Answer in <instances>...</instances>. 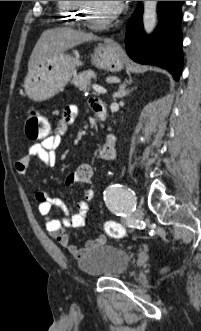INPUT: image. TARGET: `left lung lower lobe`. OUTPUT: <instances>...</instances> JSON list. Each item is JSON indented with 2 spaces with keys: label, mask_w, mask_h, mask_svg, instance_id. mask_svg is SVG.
<instances>
[{
  "label": "left lung lower lobe",
  "mask_w": 201,
  "mask_h": 331,
  "mask_svg": "<svg viewBox=\"0 0 201 331\" xmlns=\"http://www.w3.org/2000/svg\"><path fill=\"white\" fill-rule=\"evenodd\" d=\"M184 1H158L159 24L150 37L142 25V7L129 20L125 44L128 55L141 64L158 65L179 79L183 65L181 6Z\"/></svg>",
  "instance_id": "left-lung-lower-lobe-1"
}]
</instances>
